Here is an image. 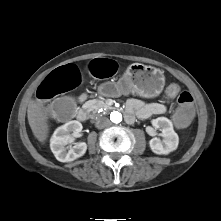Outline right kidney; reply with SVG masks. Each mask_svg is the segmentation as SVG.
Returning a JSON list of instances; mask_svg holds the SVG:
<instances>
[{
    "label": "right kidney",
    "instance_id": "1",
    "mask_svg": "<svg viewBox=\"0 0 221 221\" xmlns=\"http://www.w3.org/2000/svg\"><path fill=\"white\" fill-rule=\"evenodd\" d=\"M82 128V124L74 120L65 123L54 131L50 139V148L58 161L71 162L85 154L87 150L85 142H78L74 146L66 147L67 144L73 142L74 137H77Z\"/></svg>",
    "mask_w": 221,
    "mask_h": 221
}]
</instances>
